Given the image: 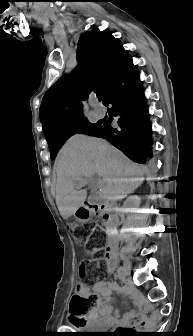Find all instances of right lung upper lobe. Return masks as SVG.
<instances>
[{"label": "right lung upper lobe", "mask_w": 193, "mask_h": 336, "mask_svg": "<svg viewBox=\"0 0 193 336\" xmlns=\"http://www.w3.org/2000/svg\"><path fill=\"white\" fill-rule=\"evenodd\" d=\"M79 62L72 74L59 78L45 93L40 110V120L47 141L66 132L82 119V105L73 96L72 88L84 100L92 92H100L103 101L122 74L132 62L121 42L107 31L94 29L80 36L77 50ZM69 103L68 116L63 107Z\"/></svg>", "instance_id": "right-lung-upper-lobe-1"}]
</instances>
